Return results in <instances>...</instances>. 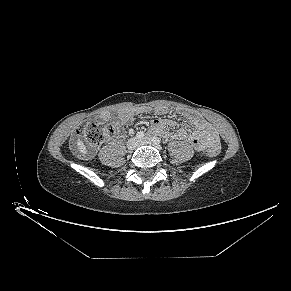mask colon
Instances as JSON below:
<instances>
[{
  "mask_svg": "<svg viewBox=\"0 0 291 291\" xmlns=\"http://www.w3.org/2000/svg\"><path fill=\"white\" fill-rule=\"evenodd\" d=\"M146 112V110H143L140 114H145ZM118 131V126L100 120L94 123H83L78 130V135L84 137L91 144L99 145L114 137ZM219 152L220 147L218 145L210 147L207 151L211 158L217 157Z\"/></svg>",
  "mask_w": 291,
  "mask_h": 291,
  "instance_id": "5ec220e1",
  "label": "colon"
}]
</instances>
